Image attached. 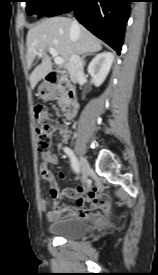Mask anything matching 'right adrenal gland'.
I'll return each mask as SVG.
<instances>
[{
	"instance_id": "obj_1",
	"label": "right adrenal gland",
	"mask_w": 158,
	"mask_h": 275,
	"mask_svg": "<svg viewBox=\"0 0 158 275\" xmlns=\"http://www.w3.org/2000/svg\"><path fill=\"white\" fill-rule=\"evenodd\" d=\"M91 55H94V53H86L85 55H83L82 61H83V65H84V66L86 65L85 58H86L87 56H91Z\"/></svg>"
}]
</instances>
